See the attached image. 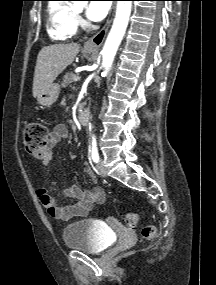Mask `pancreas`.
<instances>
[{
	"instance_id": "obj_1",
	"label": "pancreas",
	"mask_w": 216,
	"mask_h": 285,
	"mask_svg": "<svg viewBox=\"0 0 216 285\" xmlns=\"http://www.w3.org/2000/svg\"><path fill=\"white\" fill-rule=\"evenodd\" d=\"M77 76L74 72H67L64 75L63 82L61 84L62 87H67L70 85L74 80V77Z\"/></svg>"
}]
</instances>
